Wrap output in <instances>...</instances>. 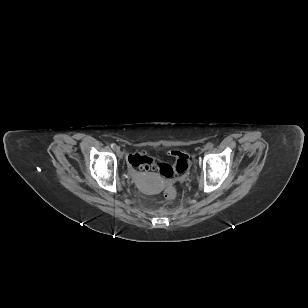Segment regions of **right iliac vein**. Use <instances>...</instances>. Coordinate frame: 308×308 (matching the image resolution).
I'll return each instance as SVG.
<instances>
[{
    "label": "right iliac vein",
    "mask_w": 308,
    "mask_h": 308,
    "mask_svg": "<svg viewBox=\"0 0 308 308\" xmlns=\"http://www.w3.org/2000/svg\"><path fill=\"white\" fill-rule=\"evenodd\" d=\"M115 152L117 153V155H118V157H122L123 156V154H122V152L120 151V148L117 146L115 149Z\"/></svg>",
    "instance_id": "right-iliac-vein-1"
}]
</instances>
